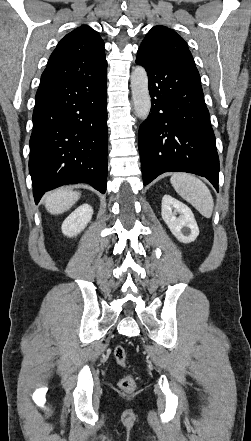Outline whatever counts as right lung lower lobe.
<instances>
[{"instance_id":"right-lung-lower-lobe-1","label":"right lung lower lobe","mask_w":251,"mask_h":441,"mask_svg":"<svg viewBox=\"0 0 251 441\" xmlns=\"http://www.w3.org/2000/svg\"><path fill=\"white\" fill-rule=\"evenodd\" d=\"M107 67L77 78L41 79L35 97L29 172L37 204L53 188L107 181Z\"/></svg>"}]
</instances>
